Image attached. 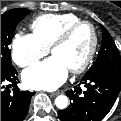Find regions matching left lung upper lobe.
Here are the masks:
<instances>
[{
  "label": "left lung upper lobe",
  "instance_id": "5c2ea615",
  "mask_svg": "<svg viewBox=\"0 0 121 121\" xmlns=\"http://www.w3.org/2000/svg\"><path fill=\"white\" fill-rule=\"evenodd\" d=\"M102 28V46L98 53V57L94 65L88 72L100 70H115L121 71V57L120 53L113 41V38L101 25Z\"/></svg>",
  "mask_w": 121,
  "mask_h": 121
}]
</instances>
